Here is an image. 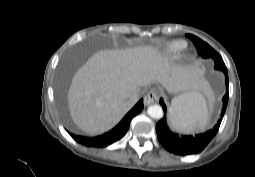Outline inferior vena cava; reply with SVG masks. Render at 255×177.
I'll list each match as a JSON object with an SVG mask.
<instances>
[{
  "label": "inferior vena cava",
  "instance_id": "602c4592",
  "mask_svg": "<svg viewBox=\"0 0 255 177\" xmlns=\"http://www.w3.org/2000/svg\"><path fill=\"white\" fill-rule=\"evenodd\" d=\"M138 100H139L138 93H133L129 97V103H131L132 105H134Z\"/></svg>",
  "mask_w": 255,
  "mask_h": 177
}]
</instances>
